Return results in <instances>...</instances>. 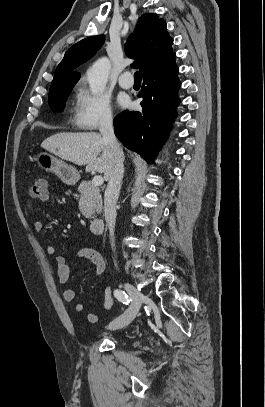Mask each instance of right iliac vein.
I'll return each mask as SVG.
<instances>
[{"label":"right iliac vein","mask_w":265,"mask_h":407,"mask_svg":"<svg viewBox=\"0 0 265 407\" xmlns=\"http://www.w3.org/2000/svg\"><path fill=\"white\" fill-rule=\"evenodd\" d=\"M124 288L132 299V305L123 315H121L108 325V328L111 330L122 329L129 325L137 316L141 304L144 300V295L130 283L125 282Z\"/></svg>","instance_id":"63e3f726"}]
</instances>
